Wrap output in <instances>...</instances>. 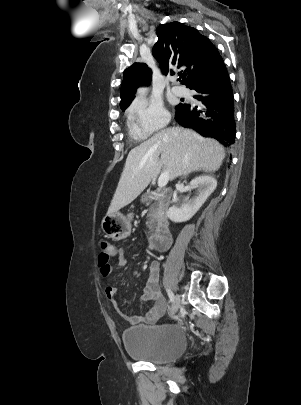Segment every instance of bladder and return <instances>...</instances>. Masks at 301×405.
<instances>
[{
  "instance_id": "obj_1",
  "label": "bladder",
  "mask_w": 301,
  "mask_h": 405,
  "mask_svg": "<svg viewBox=\"0 0 301 405\" xmlns=\"http://www.w3.org/2000/svg\"><path fill=\"white\" fill-rule=\"evenodd\" d=\"M122 341L129 356L152 363H169L187 348L184 329L177 324L130 327L123 331Z\"/></svg>"
}]
</instances>
